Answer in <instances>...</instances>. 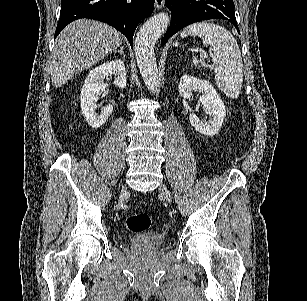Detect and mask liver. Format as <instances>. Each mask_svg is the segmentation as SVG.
Wrapping results in <instances>:
<instances>
[{
    "mask_svg": "<svg viewBox=\"0 0 307 301\" xmlns=\"http://www.w3.org/2000/svg\"><path fill=\"white\" fill-rule=\"evenodd\" d=\"M123 34L113 26L79 18L58 34L51 54V82L63 86L78 72L90 68L122 44Z\"/></svg>",
    "mask_w": 307,
    "mask_h": 301,
    "instance_id": "obj_1",
    "label": "liver"
}]
</instances>
